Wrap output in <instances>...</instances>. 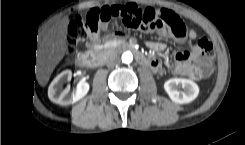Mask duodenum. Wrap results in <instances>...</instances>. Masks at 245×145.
I'll use <instances>...</instances> for the list:
<instances>
[{"instance_id": "410a0bca", "label": "duodenum", "mask_w": 245, "mask_h": 145, "mask_svg": "<svg viewBox=\"0 0 245 145\" xmlns=\"http://www.w3.org/2000/svg\"><path fill=\"white\" fill-rule=\"evenodd\" d=\"M126 50H132V48H131V47H127ZM135 57H136V59H137L139 62H142V63L144 62L143 59H142V57H141L140 55H135ZM87 63H88V64H94V61H93L92 57H90V58L87 60Z\"/></svg>"}]
</instances>
